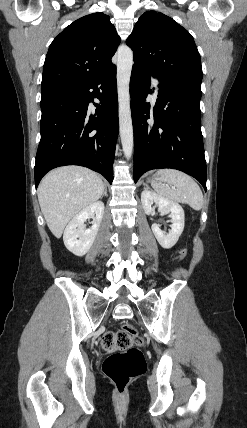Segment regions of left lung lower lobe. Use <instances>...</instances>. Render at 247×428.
<instances>
[{
    "mask_svg": "<svg viewBox=\"0 0 247 428\" xmlns=\"http://www.w3.org/2000/svg\"><path fill=\"white\" fill-rule=\"evenodd\" d=\"M148 69L133 65L130 80L134 130V181L152 169L173 168L196 178L206 191L207 169L201 133V94L162 82L150 111Z\"/></svg>",
    "mask_w": 247,
    "mask_h": 428,
    "instance_id": "0a47b994",
    "label": "left lung lower lobe"
}]
</instances>
